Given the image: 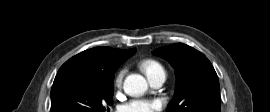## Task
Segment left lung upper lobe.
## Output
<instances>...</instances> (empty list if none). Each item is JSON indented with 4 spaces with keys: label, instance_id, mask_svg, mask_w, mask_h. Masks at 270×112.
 I'll list each match as a JSON object with an SVG mask.
<instances>
[{
    "label": "left lung upper lobe",
    "instance_id": "5c2ea615",
    "mask_svg": "<svg viewBox=\"0 0 270 112\" xmlns=\"http://www.w3.org/2000/svg\"><path fill=\"white\" fill-rule=\"evenodd\" d=\"M153 54L176 69L177 87L166 112H220L218 76L204 54L183 43L158 48Z\"/></svg>",
    "mask_w": 270,
    "mask_h": 112
}]
</instances>
